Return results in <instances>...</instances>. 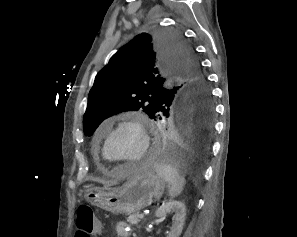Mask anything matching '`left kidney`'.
<instances>
[{"mask_svg": "<svg viewBox=\"0 0 297 237\" xmlns=\"http://www.w3.org/2000/svg\"><path fill=\"white\" fill-rule=\"evenodd\" d=\"M168 212H174L175 215L172 218L173 223L170 227L167 237H179L182 233L185 223L186 207L183 202L176 200L165 202L157 209L156 217L164 220L165 215Z\"/></svg>", "mask_w": 297, "mask_h": 237, "instance_id": "5707ae66", "label": "left kidney"}]
</instances>
